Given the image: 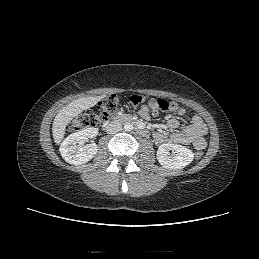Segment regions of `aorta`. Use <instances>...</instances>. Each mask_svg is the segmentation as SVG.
<instances>
[{
  "mask_svg": "<svg viewBox=\"0 0 259 259\" xmlns=\"http://www.w3.org/2000/svg\"><path fill=\"white\" fill-rule=\"evenodd\" d=\"M124 130L127 131V132L132 131V130H133V125H132V123L126 122V123L124 124Z\"/></svg>",
  "mask_w": 259,
  "mask_h": 259,
  "instance_id": "762f6f07",
  "label": "aorta"
}]
</instances>
